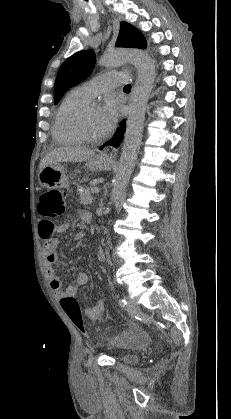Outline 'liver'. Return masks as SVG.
Here are the masks:
<instances>
[{
    "label": "liver",
    "mask_w": 231,
    "mask_h": 419,
    "mask_svg": "<svg viewBox=\"0 0 231 419\" xmlns=\"http://www.w3.org/2000/svg\"><path fill=\"white\" fill-rule=\"evenodd\" d=\"M95 151L82 147H59L49 152L40 162L39 169L60 162H83L94 157Z\"/></svg>",
    "instance_id": "obj_1"
}]
</instances>
